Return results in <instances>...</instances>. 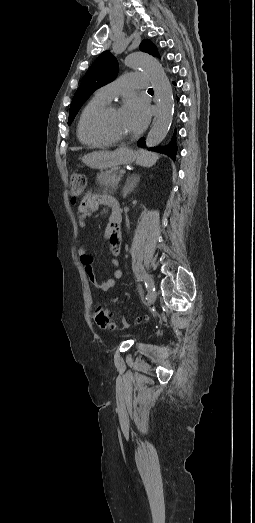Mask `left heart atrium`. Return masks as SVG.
Masks as SVG:
<instances>
[{"label":"left heart atrium","mask_w":255,"mask_h":523,"mask_svg":"<svg viewBox=\"0 0 255 523\" xmlns=\"http://www.w3.org/2000/svg\"><path fill=\"white\" fill-rule=\"evenodd\" d=\"M125 108L131 116L134 133L143 130L151 115L149 104L145 100L131 96L127 99Z\"/></svg>","instance_id":"left-heart-atrium-1"}]
</instances>
